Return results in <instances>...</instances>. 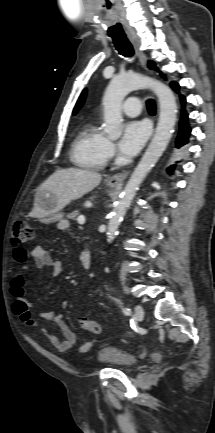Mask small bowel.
<instances>
[{"label": "small bowel", "mask_w": 215, "mask_h": 433, "mask_svg": "<svg viewBox=\"0 0 215 433\" xmlns=\"http://www.w3.org/2000/svg\"><path fill=\"white\" fill-rule=\"evenodd\" d=\"M64 227H67L65 225ZM15 261L19 264V268L13 275L9 291L14 298L13 311L26 324L35 326L36 321L33 315L38 318L53 322L61 332L63 339H60L56 334L45 332L49 343L59 352H67L76 345V335L69 326L62 320L61 315L53 311H35L33 305L25 297L26 279L28 267L26 261L28 252L23 248H16L13 253ZM31 256L35 259L38 266H49L53 277H58L63 272V265L60 261H54L48 251L42 245H36L31 251ZM94 340L87 341L78 347L79 352L88 351Z\"/></svg>", "instance_id": "obj_1"}]
</instances>
